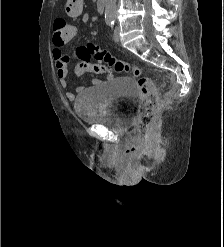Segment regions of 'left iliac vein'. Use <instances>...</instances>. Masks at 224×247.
<instances>
[{"mask_svg":"<svg viewBox=\"0 0 224 247\" xmlns=\"http://www.w3.org/2000/svg\"><path fill=\"white\" fill-rule=\"evenodd\" d=\"M113 39L118 42L120 40L119 27H116L113 32Z\"/></svg>","mask_w":224,"mask_h":247,"instance_id":"obj_1","label":"left iliac vein"}]
</instances>
